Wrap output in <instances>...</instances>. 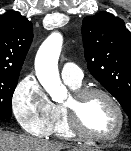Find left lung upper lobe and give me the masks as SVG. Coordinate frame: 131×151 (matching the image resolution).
<instances>
[{"label":"left lung upper lobe","instance_id":"1","mask_svg":"<svg viewBox=\"0 0 131 151\" xmlns=\"http://www.w3.org/2000/svg\"><path fill=\"white\" fill-rule=\"evenodd\" d=\"M82 38L90 73L119 101L131 126V33L102 11L83 19Z\"/></svg>","mask_w":131,"mask_h":151}]
</instances>
